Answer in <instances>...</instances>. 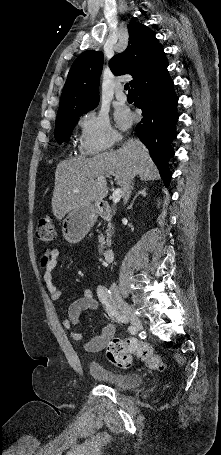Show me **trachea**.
<instances>
[{"instance_id": "3493384b", "label": "trachea", "mask_w": 221, "mask_h": 455, "mask_svg": "<svg viewBox=\"0 0 221 455\" xmlns=\"http://www.w3.org/2000/svg\"><path fill=\"white\" fill-rule=\"evenodd\" d=\"M124 89L128 90V92L131 93V90L129 89V84L128 83L124 85Z\"/></svg>"}]
</instances>
